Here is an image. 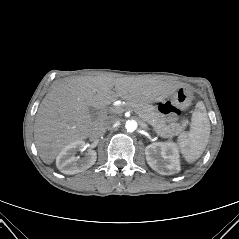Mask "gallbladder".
I'll list each match as a JSON object with an SVG mask.
<instances>
[{
    "label": "gallbladder",
    "instance_id": "1",
    "mask_svg": "<svg viewBox=\"0 0 239 239\" xmlns=\"http://www.w3.org/2000/svg\"><path fill=\"white\" fill-rule=\"evenodd\" d=\"M90 114L92 115V116H95L96 115V110L94 109V108H92V107H90Z\"/></svg>",
    "mask_w": 239,
    "mask_h": 239
}]
</instances>
